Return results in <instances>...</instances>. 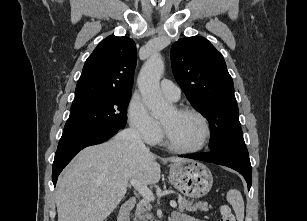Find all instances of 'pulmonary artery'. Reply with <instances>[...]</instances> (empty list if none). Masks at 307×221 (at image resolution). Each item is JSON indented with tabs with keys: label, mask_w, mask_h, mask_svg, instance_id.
<instances>
[{
	"label": "pulmonary artery",
	"mask_w": 307,
	"mask_h": 221,
	"mask_svg": "<svg viewBox=\"0 0 307 221\" xmlns=\"http://www.w3.org/2000/svg\"><path fill=\"white\" fill-rule=\"evenodd\" d=\"M161 93L172 101H177L180 98V89L172 81L163 79L160 83Z\"/></svg>",
	"instance_id": "obj_1"
}]
</instances>
